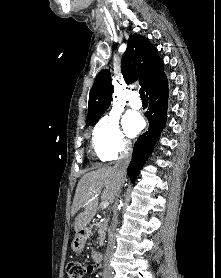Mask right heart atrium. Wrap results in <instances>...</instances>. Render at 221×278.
<instances>
[{
  "mask_svg": "<svg viewBox=\"0 0 221 278\" xmlns=\"http://www.w3.org/2000/svg\"><path fill=\"white\" fill-rule=\"evenodd\" d=\"M93 149L102 161H112L131 150V142L125 136L114 114L103 116L95 125L92 137Z\"/></svg>",
  "mask_w": 221,
  "mask_h": 278,
  "instance_id": "right-heart-atrium-1",
  "label": "right heart atrium"
}]
</instances>
